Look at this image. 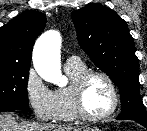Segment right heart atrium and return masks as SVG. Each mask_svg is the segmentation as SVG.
Listing matches in <instances>:
<instances>
[{"instance_id": "1", "label": "right heart atrium", "mask_w": 147, "mask_h": 131, "mask_svg": "<svg viewBox=\"0 0 147 131\" xmlns=\"http://www.w3.org/2000/svg\"><path fill=\"white\" fill-rule=\"evenodd\" d=\"M24 87L28 104L35 117L41 121H55L59 112L55 92L44 83L34 69L28 71Z\"/></svg>"}]
</instances>
